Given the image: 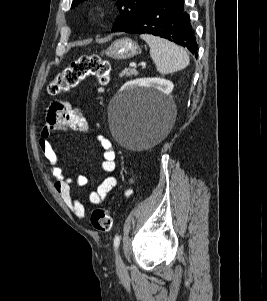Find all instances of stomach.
Wrapping results in <instances>:
<instances>
[{"mask_svg":"<svg viewBox=\"0 0 267 301\" xmlns=\"http://www.w3.org/2000/svg\"><path fill=\"white\" fill-rule=\"evenodd\" d=\"M103 53L112 59H129L139 53V46L129 38H121L115 40Z\"/></svg>","mask_w":267,"mask_h":301,"instance_id":"obj_1","label":"stomach"}]
</instances>
